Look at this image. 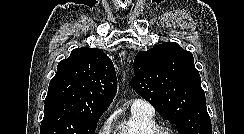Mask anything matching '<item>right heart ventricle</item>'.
<instances>
[{"mask_svg": "<svg viewBox=\"0 0 244 134\" xmlns=\"http://www.w3.org/2000/svg\"><path fill=\"white\" fill-rule=\"evenodd\" d=\"M157 126L152 114L132 110L130 116L116 127L114 134H150Z\"/></svg>", "mask_w": 244, "mask_h": 134, "instance_id": "e07e8e85", "label": "right heart ventricle"}]
</instances>
